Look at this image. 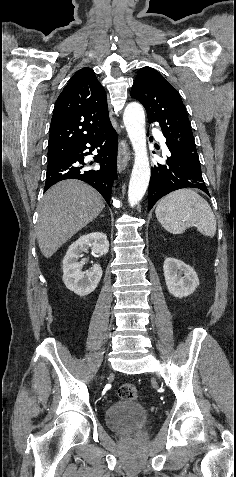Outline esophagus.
Masks as SVG:
<instances>
[{
  "mask_svg": "<svg viewBox=\"0 0 236 477\" xmlns=\"http://www.w3.org/2000/svg\"><path fill=\"white\" fill-rule=\"evenodd\" d=\"M130 150L129 146L124 140L119 141L118 145V159H117V166H118V171L123 172L130 160Z\"/></svg>",
  "mask_w": 236,
  "mask_h": 477,
  "instance_id": "obj_1",
  "label": "esophagus"
}]
</instances>
